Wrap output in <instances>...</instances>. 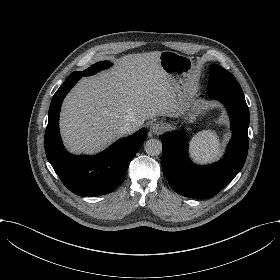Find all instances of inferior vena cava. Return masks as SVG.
I'll return each mask as SVG.
<instances>
[{
  "label": "inferior vena cava",
  "mask_w": 280,
  "mask_h": 280,
  "mask_svg": "<svg viewBox=\"0 0 280 280\" xmlns=\"http://www.w3.org/2000/svg\"><path fill=\"white\" fill-rule=\"evenodd\" d=\"M139 127H140V125L138 123L135 125H133L132 123H126L122 127H120V133L122 135L131 134V133L135 132L136 130H138Z\"/></svg>",
  "instance_id": "obj_1"
}]
</instances>
